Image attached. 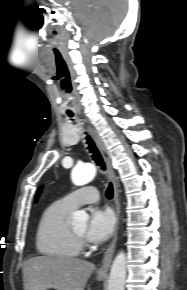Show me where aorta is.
Returning <instances> with one entry per match:
<instances>
[{
    "mask_svg": "<svg viewBox=\"0 0 187 290\" xmlns=\"http://www.w3.org/2000/svg\"><path fill=\"white\" fill-rule=\"evenodd\" d=\"M96 168L93 164H84L73 169L71 178L77 186H82L94 179ZM89 216L85 211H76L72 215L73 225H85ZM126 279V256L119 252L115 257L109 275L107 290H124Z\"/></svg>",
    "mask_w": 187,
    "mask_h": 290,
    "instance_id": "1",
    "label": "aorta"
}]
</instances>
